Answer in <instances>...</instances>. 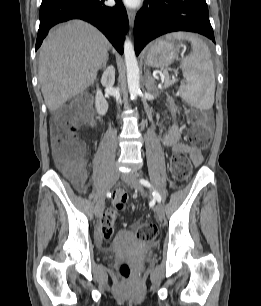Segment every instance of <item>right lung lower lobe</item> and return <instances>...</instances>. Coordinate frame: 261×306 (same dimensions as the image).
I'll return each mask as SVG.
<instances>
[{"label": "right lung lower lobe", "mask_w": 261, "mask_h": 306, "mask_svg": "<svg viewBox=\"0 0 261 306\" xmlns=\"http://www.w3.org/2000/svg\"><path fill=\"white\" fill-rule=\"evenodd\" d=\"M115 1L114 7H108L104 0H42L36 50L52 26L79 18L96 26L122 54L129 22L121 0Z\"/></svg>", "instance_id": "obj_1"}]
</instances>
